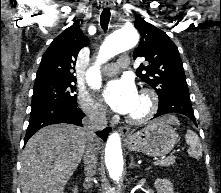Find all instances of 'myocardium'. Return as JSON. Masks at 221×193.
Listing matches in <instances>:
<instances>
[{
    "label": "myocardium",
    "instance_id": "f54148a6",
    "mask_svg": "<svg viewBox=\"0 0 221 193\" xmlns=\"http://www.w3.org/2000/svg\"><path fill=\"white\" fill-rule=\"evenodd\" d=\"M140 97L146 101L147 106L142 114L138 116H128L126 118L127 122L133 125L143 124L150 120L158 108V97L153 90L149 88H143L140 92Z\"/></svg>",
    "mask_w": 221,
    "mask_h": 193
}]
</instances>
